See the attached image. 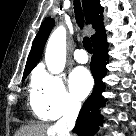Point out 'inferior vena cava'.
I'll list each match as a JSON object with an SVG mask.
<instances>
[{
    "label": "inferior vena cava",
    "instance_id": "602c4592",
    "mask_svg": "<svg viewBox=\"0 0 136 136\" xmlns=\"http://www.w3.org/2000/svg\"><path fill=\"white\" fill-rule=\"evenodd\" d=\"M81 105L80 103H70L63 117L56 122L54 128L58 133V136H70V131L75 126V122L80 111Z\"/></svg>",
    "mask_w": 136,
    "mask_h": 136
}]
</instances>
